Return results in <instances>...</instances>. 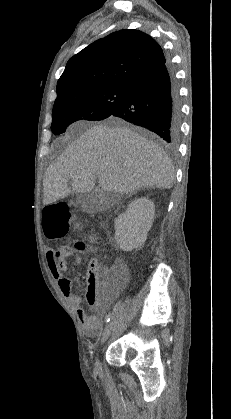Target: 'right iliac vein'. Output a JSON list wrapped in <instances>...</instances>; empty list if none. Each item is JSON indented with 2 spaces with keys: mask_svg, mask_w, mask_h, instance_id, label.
<instances>
[{
  "mask_svg": "<svg viewBox=\"0 0 231 419\" xmlns=\"http://www.w3.org/2000/svg\"><path fill=\"white\" fill-rule=\"evenodd\" d=\"M112 330H113V322H110V323L106 326V328H105V330H104V332H103V335H102V337H101V345H102V344H104V343L107 341V339H108V338H109V336L111 335ZM95 367H96V369H98V370L101 368V363H100V361H99L98 356H97V357H96V359H95Z\"/></svg>",
  "mask_w": 231,
  "mask_h": 419,
  "instance_id": "63e3f726",
  "label": "right iliac vein"
}]
</instances>
